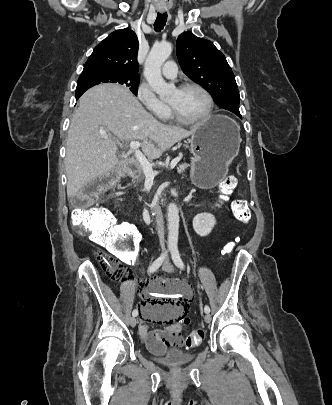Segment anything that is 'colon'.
I'll use <instances>...</instances> for the list:
<instances>
[{
	"label": "colon",
	"instance_id": "1",
	"mask_svg": "<svg viewBox=\"0 0 332 405\" xmlns=\"http://www.w3.org/2000/svg\"><path fill=\"white\" fill-rule=\"evenodd\" d=\"M115 179L114 172H108L100 176L95 181L89 183L83 190L73 196L71 202L73 212L71 214V223L78 232H86L92 239L99 243H105L103 248L104 256H120L119 261L112 257L103 259V266L108 276L115 280L121 269L120 263L128 260V265H134V260H138V245L141 238L138 232L134 231L128 222L116 221L114 215L106 208L88 207L102 191L107 189ZM237 186V178L233 175L226 176L220 183V189L224 196L233 192ZM232 212L237 220L242 223H248L250 220V210L247 201L237 199L232 202ZM234 243L226 245L227 251H230ZM178 288H185L180 286ZM181 325H193V316H181ZM207 325H197L191 332L184 331L182 338L185 339L187 351H198L199 343L204 334L208 333Z\"/></svg>",
	"mask_w": 332,
	"mask_h": 405
}]
</instances>
